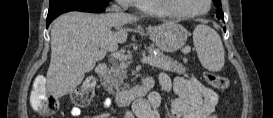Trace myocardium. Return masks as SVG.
Instances as JSON below:
<instances>
[{
    "label": "myocardium",
    "instance_id": "obj_1",
    "mask_svg": "<svg viewBox=\"0 0 273 118\" xmlns=\"http://www.w3.org/2000/svg\"><path fill=\"white\" fill-rule=\"evenodd\" d=\"M159 2L164 8L170 10L175 15L179 17H184V18H194V17L202 16L208 13V11L211 8V0H205L206 8L203 11H198V12H186L182 10L179 4L177 3V0H159Z\"/></svg>",
    "mask_w": 273,
    "mask_h": 118
}]
</instances>
